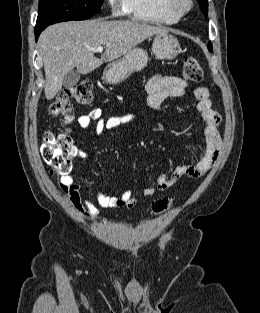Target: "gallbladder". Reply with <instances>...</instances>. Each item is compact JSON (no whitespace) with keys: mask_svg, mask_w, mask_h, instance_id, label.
Here are the masks:
<instances>
[{"mask_svg":"<svg viewBox=\"0 0 260 313\" xmlns=\"http://www.w3.org/2000/svg\"><path fill=\"white\" fill-rule=\"evenodd\" d=\"M81 74L77 70L69 71L64 79L63 86L65 88H73L80 80Z\"/></svg>","mask_w":260,"mask_h":313,"instance_id":"obj_1","label":"gallbladder"}]
</instances>
